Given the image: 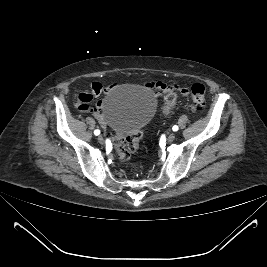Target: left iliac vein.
<instances>
[{"instance_id":"left-iliac-vein-1","label":"left iliac vein","mask_w":267,"mask_h":267,"mask_svg":"<svg viewBox=\"0 0 267 267\" xmlns=\"http://www.w3.org/2000/svg\"><path fill=\"white\" fill-rule=\"evenodd\" d=\"M175 137H176V135H175L174 133H171V134L168 136L167 141H168V142H173V141L175 140Z\"/></svg>"}]
</instances>
